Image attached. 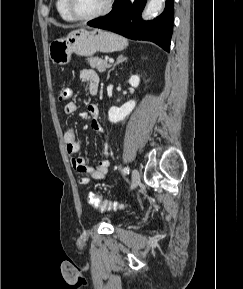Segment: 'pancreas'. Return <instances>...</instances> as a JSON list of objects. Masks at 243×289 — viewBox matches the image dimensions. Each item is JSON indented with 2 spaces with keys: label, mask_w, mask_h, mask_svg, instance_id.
I'll return each mask as SVG.
<instances>
[{
  "label": "pancreas",
  "mask_w": 243,
  "mask_h": 289,
  "mask_svg": "<svg viewBox=\"0 0 243 289\" xmlns=\"http://www.w3.org/2000/svg\"><path fill=\"white\" fill-rule=\"evenodd\" d=\"M87 63L92 67L96 68L99 72H104L106 69L111 67L107 59H102L99 57H89L87 58Z\"/></svg>",
  "instance_id": "cf45deb5"
}]
</instances>
